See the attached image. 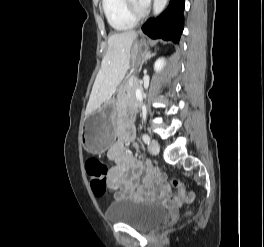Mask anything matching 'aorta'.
Here are the masks:
<instances>
[{"label": "aorta", "mask_w": 264, "mask_h": 247, "mask_svg": "<svg viewBox=\"0 0 264 247\" xmlns=\"http://www.w3.org/2000/svg\"><path fill=\"white\" fill-rule=\"evenodd\" d=\"M168 0H154L153 2V14L154 16H158L167 5Z\"/></svg>", "instance_id": "obj_1"}]
</instances>
